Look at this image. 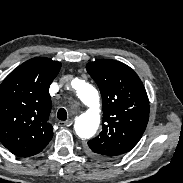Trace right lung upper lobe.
<instances>
[{
  "label": "right lung upper lobe",
  "mask_w": 183,
  "mask_h": 183,
  "mask_svg": "<svg viewBox=\"0 0 183 183\" xmlns=\"http://www.w3.org/2000/svg\"><path fill=\"white\" fill-rule=\"evenodd\" d=\"M60 68V62L33 58L0 85V142L18 157L39 153L53 137L49 86Z\"/></svg>",
  "instance_id": "1"
}]
</instances>
